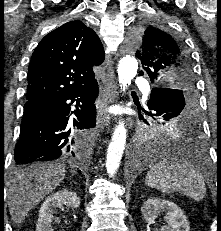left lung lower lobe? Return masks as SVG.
<instances>
[{"label":"left lung lower lobe","instance_id":"obj_1","mask_svg":"<svg viewBox=\"0 0 221 231\" xmlns=\"http://www.w3.org/2000/svg\"><path fill=\"white\" fill-rule=\"evenodd\" d=\"M174 93L167 88H153L149 100L150 105L157 103L158 106L166 102H177L173 98ZM173 113L165 114L164 118L171 119ZM200 125L199 122L190 120L183 123L176 130H171L163 134V141L175 149L196 156L197 150L201 148L200 144ZM161 155V149L152 147L151 150L134 151L133 156L140 160L151 161Z\"/></svg>","mask_w":221,"mask_h":231}]
</instances>
